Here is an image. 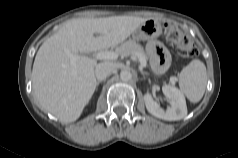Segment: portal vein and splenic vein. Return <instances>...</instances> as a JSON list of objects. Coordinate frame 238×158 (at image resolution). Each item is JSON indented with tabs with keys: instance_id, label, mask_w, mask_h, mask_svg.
<instances>
[{
	"instance_id": "portal-vein-and-splenic-vein-1",
	"label": "portal vein and splenic vein",
	"mask_w": 238,
	"mask_h": 158,
	"mask_svg": "<svg viewBox=\"0 0 238 158\" xmlns=\"http://www.w3.org/2000/svg\"><path fill=\"white\" fill-rule=\"evenodd\" d=\"M66 53L73 65H75L76 62L82 57L81 55L72 54L69 50H67ZM95 58L99 60H115L118 58V54L113 51L99 52L95 55ZM139 62H140V70L146 67L147 63L144 58L140 57Z\"/></svg>"
}]
</instances>
